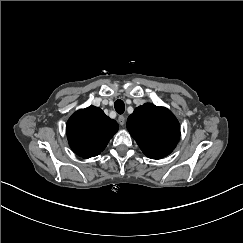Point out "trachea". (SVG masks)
I'll use <instances>...</instances> for the list:
<instances>
[{
	"label": "trachea",
	"mask_w": 243,
	"mask_h": 243,
	"mask_svg": "<svg viewBox=\"0 0 243 243\" xmlns=\"http://www.w3.org/2000/svg\"><path fill=\"white\" fill-rule=\"evenodd\" d=\"M114 108L118 114H123L125 111V104L121 99H118L114 103Z\"/></svg>",
	"instance_id": "1"
}]
</instances>
